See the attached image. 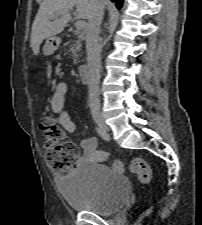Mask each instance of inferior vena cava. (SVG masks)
<instances>
[{
    "instance_id": "1",
    "label": "inferior vena cava",
    "mask_w": 202,
    "mask_h": 225,
    "mask_svg": "<svg viewBox=\"0 0 202 225\" xmlns=\"http://www.w3.org/2000/svg\"><path fill=\"white\" fill-rule=\"evenodd\" d=\"M104 1L95 0L94 10L88 21L86 34V51L88 62V94L89 106L92 110H99V82H100V66L101 48L99 45L100 25L104 15Z\"/></svg>"
}]
</instances>
